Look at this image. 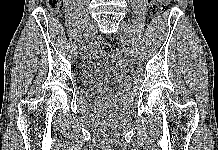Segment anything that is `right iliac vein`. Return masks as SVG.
I'll return each instance as SVG.
<instances>
[{
    "label": "right iliac vein",
    "instance_id": "obj_1",
    "mask_svg": "<svg viewBox=\"0 0 218 150\" xmlns=\"http://www.w3.org/2000/svg\"><path fill=\"white\" fill-rule=\"evenodd\" d=\"M95 28H96V24L94 21H91L87 24L85 33H84V38L82 39L83 42L81 43L83 46L86 44L85 41H87L94 35Z\"/></svg>",
    "mask_w": 218,
    "mask_h": 150
}]
</instances>
